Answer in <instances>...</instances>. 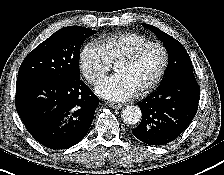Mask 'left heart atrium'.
<instances>
[{
	"label": "left heart atrium",
	"mask_w": 224,
	"mask_h": 175,
	"mask_svg": "<svg viewBox=\"0 0 224 175\" xmlns=\"http://www.w3.org/2000/svg\"><path fill=\"white\" fill-rule=\"evenodd\" d=\"M95 90L99 96L110 101H125L136 93L129 81L119 74L105 78Z\"/></svg>",
	"instance_id": "1"
}]
</instances>
